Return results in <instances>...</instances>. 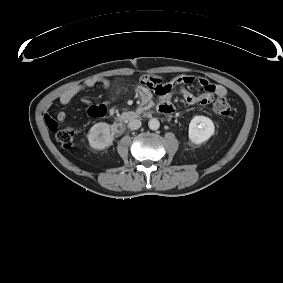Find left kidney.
Here are the masks:
<instances>
[{"mask_svg": "<svg viewBox=\"0 0 283 283\" xmlns=\"http://www.w3.org/2000/svg\"><path fill=\"white\" fill-rule=\"evenodd\" d=\"M215 131L212 120L205 116H194L189 124V140L193 144L207 141Z\"/></svg>", "mask_w": 283, "mask_h": 283, "instance_id": "obj_1", "label": "left kidney"}]
</instances>
